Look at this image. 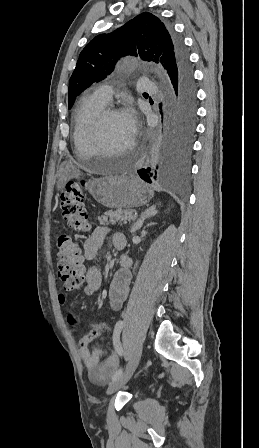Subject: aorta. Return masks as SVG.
Masks as SVG:
<instances>
[{"label":"aorta","instance_id":"obj_1","mask_svg":"<svg viewBox=\"0 0 259 448\" xmlns=\"http://www.w3.org/2000/svg\"><path fill=\"white\" fill-rule=\"evenodd\" d=\"M157 74L162 78V80L164 81V83L167 82V80L165 79V73L164 71L160 68V67H156L155 68Z\"/></svg>","mask_w":259,"mask_h":448}]
</instances>
